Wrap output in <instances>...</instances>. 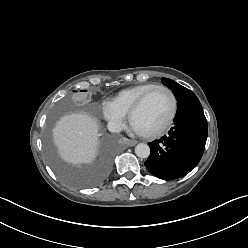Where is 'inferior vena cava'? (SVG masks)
<instances>
[{"label": "inferior vena cava", "mask_w": 248, "mask_h": 248, "mask_svg": "<svg viewBox=\"0 0 248 248\" xmlns=\"http://www.w3.org/2000/svg\"><path fill=\"white\" fill-rule=\"evenodd\" d=\"M107 127L110 132L118 133L122 130L121 125L116 122H109Z\"/></svg>", "instance_id": "inferior-vena-cava-1"}]
</instances>
